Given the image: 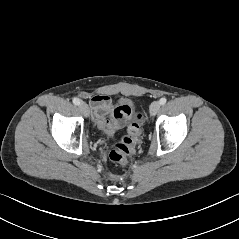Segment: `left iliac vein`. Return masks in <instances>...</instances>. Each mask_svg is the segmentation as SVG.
<instances>
[{
	"label": "left iliac vein",
	"mask_w": 239,
	"mask_h": 239,
	"mask_svg": "<svg viewBox=\"0 0 239 239\" xmlns=\"http://www.w3.org/2000/svg\"><path fill=\"white\" fill-rule=\"evenodd\" d=\"M159 109H160V103L158 101H154L150 105V109H149L151 116L156 115Z\"/></svg>",
	"instance_id": "left-iliac-vein-1"
}]
</instances>
